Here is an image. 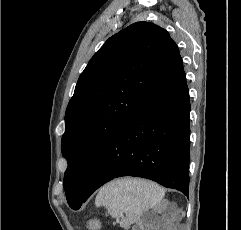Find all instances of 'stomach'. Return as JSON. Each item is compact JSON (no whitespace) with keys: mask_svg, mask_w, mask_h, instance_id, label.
<instances>
[{"mask_svg":"<svg viewBox=\"0 0 241 230\" xmlns=\"http://www.w3.org/2000/svg\"><path fill=\"white\" fill-rule=\"evenodd\" d=\"M101 227V223L100 221L94 219V220H90L88 222V228L89 230H99Z\"/></svg>","mask_w":241,"mask_h":230,"instance_id":"1","label":"stomach"}]
</instances>
